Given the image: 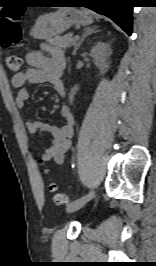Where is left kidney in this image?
Returning a JSON list of instances; mask_svg holds the SVG:
<instances>
[{
	"label": "left kidney",
	"instance_id": "obj_1",
	"mask_svg": "<svg viewBox=\"0 0 156 266\" xmlns=\"http://www.w3.org/2000/svg\"><path fill=\"white\" fill-rule=\"evenodd\" d=\"M90 55L93 58L95 65L100 70L106 72L109 67V62L107 61L110 56L109 45L103 42H99L92 48Z\"/></svg>",
	"mask_w": 156,
	"mask_h": 266
}]
</instances>
